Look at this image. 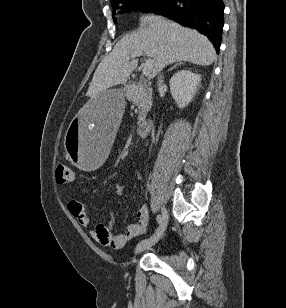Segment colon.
Here are the masks:
<instances>
[{
    "label": "colon",
    "instance_id": "5ec220e1",
    "mask_svg": "<svg viewBox=\"0 0 286 308\" xmlns=\"http://www.w3.org/2000/svg\"><path fill=\"white\" fill-rule=\"evenodd\" d=\"M55 179L60 185H72L75 183L74 169L65 164H60L55 169Z\"/></svg>",
    "mask_w": 286,
    "mask_h": 308
}]
</instances>
